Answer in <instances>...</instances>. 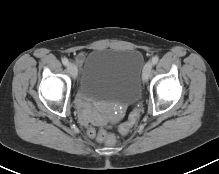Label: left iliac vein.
I'll use <instances>...</instances> for the list:
<instances>
[{
	"instance_id": "4c4485c4",
	"label": "left iliac vein",
	"mask_w": 219,
	"mask_h": 174,
	"mask_svg": "<svg viewBox=\"0 0 219 174\" xmlns=\"http://www.w3.org/2000/svg\"><path fill=\"white\" fill-rule=\"evenodd\" d=\"M153 68V64L151 62H147L143 68L142 80L147 81L151 75Z\"/></svg>"
}]
</instances>
